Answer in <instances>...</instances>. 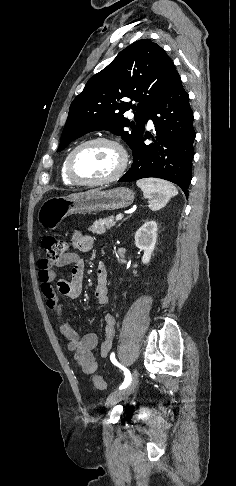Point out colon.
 <instances>
[{
  "label": "colon",
  "instance_id": "obj_1",
  "mask_svg": "<svg viewBox=\"0 0 236 486\" xmlns=\"http://www.w3.org/2000/svg\"><path fill=\"white\" fill-rule=\"evenodd\" d=\"M43 248L46 252V259L51 262L59 260L66 251V243L55 235H47L42 240ZM94 386L101 391L106 390L107 385L99 375L93 379Z\"/></svg>",
  "mask_w": 236,
  "mask_h": 486
}]
</instances>
